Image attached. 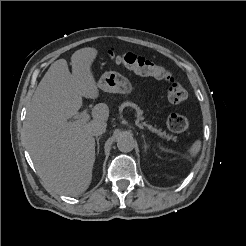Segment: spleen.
I'll list each match as a JSON object with an SVG mask.
<instances>
[{
    "label": "spleen",
    "instance_id": "spleen-1",
    "mask_svg": "<svg viewBox=\"0 0 246 246\" xmlns=\"http://www.w3.org/2000/svg\"><path fill=\"white\" fill-rule=\"evenodd\" d=\"M201 148V141L200 140H196L192 146L189 148V153L191 155V157H195L197 155V153L200 151Z\"/></svg>",
    "mask_w": 246,
    "mask_h": 246
}]
</instances>
